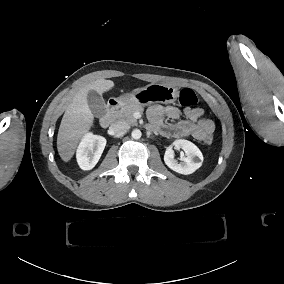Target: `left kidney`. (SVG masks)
<instances>
[{
  "label": "left kidney",
  "instance_id": "5707ae66",
  "mask_svg": "<svg viewBox=\"0 0 284 284\" xmlns=\"http://www.w3.org/2000/svg\"><path fill=\"white\" fill-rule=\"evenodd\" d=\"M173 146L181 148L185 152L186 157L182 158L180 163L174 158ZM164 161L165 164L173 171L188 175L201 167L203 155L199 148L192 142L184 139H178L175 140L172 145L167 147L164 155Z\"/></svg>",
  "mask_w": 284,
  "mask_h": 284
}]
</instances>
